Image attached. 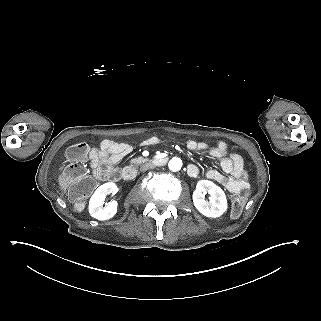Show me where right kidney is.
<instances>
[{
	"instance_id": "right-kidney-1",
	"label": "right kidney",
	"mask_w": 321,
	"mask_h": 321,
	"mask_svg": "<svg viewBox=\"0 0 321 321\" xmlns=\"http://www.w3.org/2000/svg\"><path fill=\"white\" fill-rule=\"evenodd\" d=\"M118 187L115 183L108 182L99 186L89 201V213L98 220H107L112 218L117 212V201L113 200L106 203L103 207L104 200L108 194H116Z\"/></svg>"
}]
</instances>
